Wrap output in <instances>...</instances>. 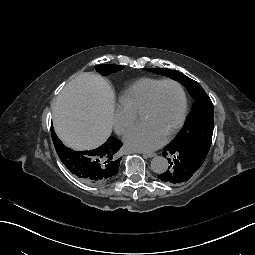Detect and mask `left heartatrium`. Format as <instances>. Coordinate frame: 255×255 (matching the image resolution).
<instances>
[{"label": "left heart atrium", "mask_w": 255, "mask_h": 255, "mask_svg": "<svg viewBox=\"0 0 255 255\" xmlns=\"http://www.w3.org/2000/svg\"><path fill=\"white\" fill-rule=\"evenodd\" d=\"M127 147L138 151H152L163 145L165 138L145 123L132 127L125 135Z\"/></svg>", "instance_id": "left-heart-atrium-1"}]
</instances>
